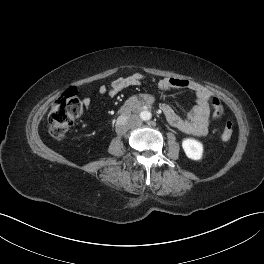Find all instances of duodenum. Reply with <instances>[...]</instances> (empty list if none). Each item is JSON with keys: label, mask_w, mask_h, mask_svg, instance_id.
I'll list each match as a JSON object with an SVG mask.
<instances>
[{"label": "duodenum", "mask_w": 264, "mask_h": 264, "mask_svg": "<svg viewBox=\"0 0 264 264\" xmlns=\"http://www.w3.org/2000/svg\"><path fill=\"white\" fill-rule=\"evenodd\" d=\"M138 100H140V103H139V106L142 108V107H150V106H152V104H153V100H152V98L151 97H149V96H143V97H141L140 99H138ZM138 100H136V101H138ZM122 115H124L126 118L127 117H129L130 115H131V112H130V110H126V111H124L123 112V114Z\"/></svg>", "instance_id": "1"}]
</instances>
